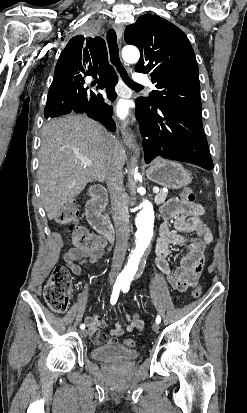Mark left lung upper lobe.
Masks as SVG:
<instances>
[{"label":"left lung upper lobe","mask_w":247,"mask_h":413,"mask_svg":"<svg viewBox=\"0 0 247 413\" xmlns=\"http://www.w3.org/2000/svg\"><path fill=\"white\" fill-rule=\"evenodd\" d=\"M125 41L140 50L135 71L150 73L157 88L148 98L136 99L137 107L179 106L201 113L198 65L181 29L157 15L145 14L126 27Z\"/></svg>","instance_id":"obj_1"}]
</instances>
